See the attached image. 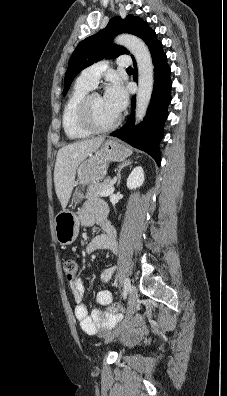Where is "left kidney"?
Here are the masks:
<instances>
[{
    "label": "left kidney",
    "instance_id": "left-kidney-1",
    "mask_svg": "<svg viewBox=\"0 0 227 396\" xmlns=\"http://www.w3.org/2000/svg\"><path fill=\"white\" fill-rule=\"evenodd\" d=\"M144 182V171L141 166L135 167L127 179V187L129 189H136L142 186Z\"/></svg>",
    "mask_w": 227,
    "mask_h": 396
}]
</instances>
